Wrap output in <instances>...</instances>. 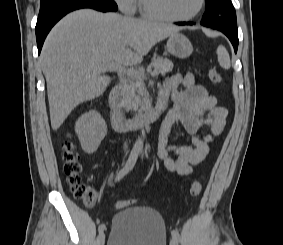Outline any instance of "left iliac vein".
<instances>
[{"label": "left iliac vein", "instance_id": "1", "mask_svg": "<svg viewBox=\"0 0 283 245\" xmlns=\"http://www.w3.org/2000/svg\"><path fill=\"white\" fill-rule=\"evenodd\" d=\"M170 245H178L177 240H175L174 238H172V239L170 240Z\"/></svg>", "mask_w": 283, "mask_h": 245}]
</instances>
